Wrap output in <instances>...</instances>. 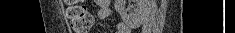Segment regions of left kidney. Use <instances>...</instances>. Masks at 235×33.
I'll return each instance as SVG.
<instances>
[{"label":"left kidney","mask_w":235,"mask_h":33,"mask_svg":"<svg viewBox=\"0 0 235 33\" xmlns=\"http://www.w3.org/2000/svg\"><path fill=\"white\" fill-rule=\"evenodd\" d=\"M126 0H115L114 8L121 16V19L130 26L139 25L146 15L149 0H136L133 11L125 8Z\"/></svg>","instance_id":"5707ae66"}]
</instances>
